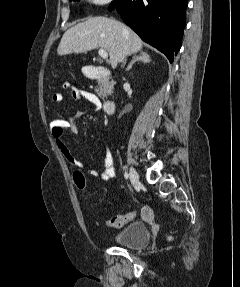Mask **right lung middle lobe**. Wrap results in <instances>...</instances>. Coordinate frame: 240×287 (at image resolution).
Masks as SVG:
<instances>
[{
	"instance_id": "dd1d6c3e",
	"label": "right lung middle lobe",
	"mask_w": 240,
	"mask_h": 287,
	"mask_svg": "<svg viewBox=\"0 0 240 287\" xmlns=\"http://www.w3.org/2000/svg\"><path fill=\"white\" fill-rule=\"evenodd\" d=\"M70 1H79V0H70Z\"/></svg>"
}]
</instances>
